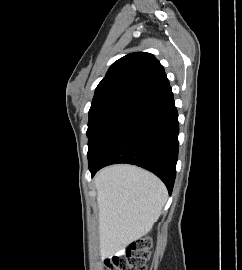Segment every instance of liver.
Masks as SVG:
<instances>
[{
	"label": "liver",
	"mask_w": 242,
	"mask_h": 270,
	"mask_svg": "<svg viewBox=\"0 0 242 270\" xmlns=\"http://www.w3.org/2000/svg\"><path fill=\"white\" fill-rule=\"evenodd\" d=\"M99 236L113 253L146 235L161 215L167 189L152 173L132 165H112L94 179Z\"/></svg>",
	"instance_id": "1"
}]
</instances>
